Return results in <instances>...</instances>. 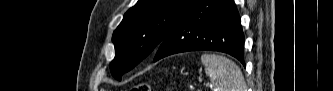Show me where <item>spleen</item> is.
Returning <instances> with one entry per match:
<instances>
[{
    "label": "spleen",
    "instance_id": "1",
    "mask_svg": "<svg viewBox=\"0 0 333 91\" xmlns=\"http://www.w3.org/2000/svg\"><path fill=\"white\" fill-rule=\"evenodd\" d=\"M201 62L214 86V91H246L240 68L229 58L217 54H203Z\"/></svg>",
    "mask_w": 333,
    "mask_h": 91
}]
</instances>
